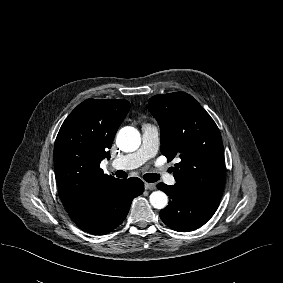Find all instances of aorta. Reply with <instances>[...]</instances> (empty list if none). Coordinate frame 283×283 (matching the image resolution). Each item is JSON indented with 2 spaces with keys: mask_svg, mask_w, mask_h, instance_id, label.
Masks as SVG:
<instances>
[{
  "mask_svg": "<svg viewBox=\"0 0 283 283\" xmlns=\"http://www.w3.org/2000/svg\"><path fill=\"white\" fill-rule=\"evenodd\" d=\"M117 146L124 152L136 151L141 143L140 134L134 127H123L116 138ZM151 205L156 209H163L168 204V196L162 191H154L149 197Z\"/></svg>",
  "mask_w": 283,
  "mask_h": 283,
  "instance_id": "aorta-1",
  "label": "aorta"
}]
</instances>
